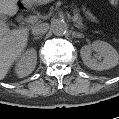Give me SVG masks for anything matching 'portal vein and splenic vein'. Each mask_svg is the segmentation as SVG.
<instances>
[{
	"label": "portal vein and splenic vein",
	"instance_id": "18ae733b",
	"mask_svg": "<svg viewBox=\"0 0 119 119\" xmlns=\"http://www.w3.org/2000/svg\"><path fill=\"white\" fill-rule=\"evenodd\" d=\"M39 19V16H31L28 19V22L34 23Z\"/></svg>",
	"mask_w": 119,
	"mask_h": 119
}]
</instances>
